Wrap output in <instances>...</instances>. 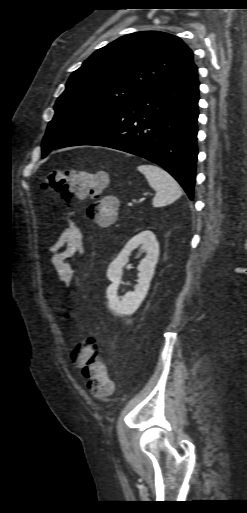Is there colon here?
<instances>
[{
	"instance_id": "1",
	"label": "colon",
	"mask_w": 247,
	"mask_h": 513,
	"mask_svg": "<svg viewBox=\"0 0 247 513\" xmlns=\"http://www.w3.org/2000/svg\"><path fill=\"white\" fill-rule=\"evenodd\" d=\"M107 183L105 175L92 174L75 169L56 170L45 175L42 187L59 193L65 202L73 198L89 199L96 195ZM96 199L97 196H94ZM116 202L111 196L97 199L87 208V217L100 226L107 227L116 221ZM101 345L96 340H76L69 349V356L74 361V368L83 379L87 388L97 398H106L113 392V383L106 366L97 356Z\"/></svg>"
}]
</instances>
